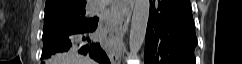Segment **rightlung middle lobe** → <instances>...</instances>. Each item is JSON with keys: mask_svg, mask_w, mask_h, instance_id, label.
<instances>
[{"mask_svg": "<svg viewBox=\"0 0 242 64\" xmlns=\"http://www.w3.org/2000/svg\"><path fill=\"white\" fill-rule=\"evenodd\" d=\"M85 6L77 9L56 10L45 13L43 28V46L49 40L59 35L74 30L92 27L98 21L97 18H86Z\"/></svg>", "mask_w": 242, "mask_h": 64, "instance_id": "right-lung-middle-lobe-1", "label": "right lung middle lobe"}]
</instances>
